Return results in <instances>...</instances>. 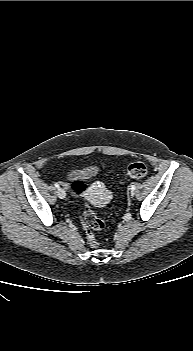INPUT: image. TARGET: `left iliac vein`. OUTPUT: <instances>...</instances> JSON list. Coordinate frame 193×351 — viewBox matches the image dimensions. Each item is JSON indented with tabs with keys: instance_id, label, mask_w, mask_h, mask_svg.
<instances>
[{
	"instance_id": "4c4485c4",
	"label": "left iliac vein",
	"mask_w": 193,
	"mask_h": 351,
	"mask_svg": "<svg viewBox=\"0 0 193 351\" xmlns=\"http://www.w3.org/2000/svg\"><path fill=\"white\" fill-rule=\"evenodd\" d=\"M130 195H131V196H134V195H135V191H134V190H131Z\"/></svg>"
}]
</instances>
